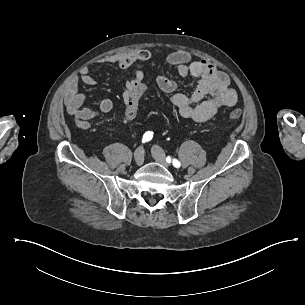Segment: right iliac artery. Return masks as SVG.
Here are the masks:
<instances>
[{"label":"right iliac artery","instance_id":"right-iliac-artery-1","mask_svg":"<svg viewBox=\"0 0 305 305\" xmlns=\"http://www.w3.org/2000/svg\"><path fill=\"white\" fill-rule=\"evenodd\" d=\"M153 137V132L152 131H147L144 135H143V139H142V142L145 143V142H148L152 139Z\"/></svg>","mask_w":305,"mask_h":305}]
</instances>
